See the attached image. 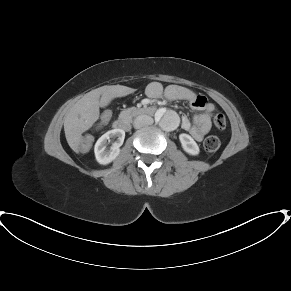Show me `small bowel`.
Returning a JSON list of instances; mask_svg holds the SVG:
<instances>
[{"instance_id": "1", "label": "small bowel", "mask_w": 291, "mask_h": 291, "mask_svg": "<svg viewBox=\"0 0 291 291\" xmlns=\"http://www.w3.org/2000/svg\"><path fill=\"white\" fill-rule=\"evenodd\" d=\"M146 95L152 99H159L164 95L168 100H184L189 102L200 112L194 117L191 123L187 117L181 120V126L189 131L196 140H202L211 128V117L215 112V105L209 102L205 96L197 94L187 87L173 84L163 89L161 83L152 82L146 89Z\"/></svg>"}]
</instances>
